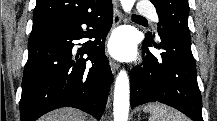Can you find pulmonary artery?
<instances>
[{
	"mask_svg": "<svg viewBox=\"0 0 217 121\" xmlns=\"http://www.w3.org/2000/svg\"><path fill=\"white\" fill-rule=\"evenodd\" d=\"M140 14L150 17L154 22L158 21V16L154 9L149 5H141L138 8Z\"/></svg>",
	"mask_w": 217,
	"mask_h": 121,
	"instance_id": "e3ab8cb5",
	"label": "pulmonary artery"
}]
</instances>
